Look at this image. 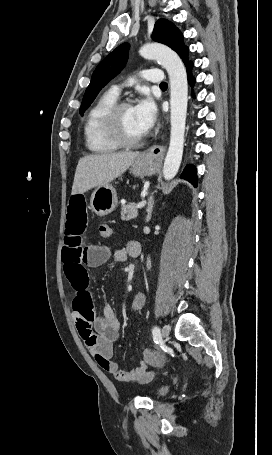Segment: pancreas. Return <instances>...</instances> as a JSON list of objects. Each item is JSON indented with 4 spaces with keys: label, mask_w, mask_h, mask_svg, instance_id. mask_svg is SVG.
<instances>
[{
    "label": "pancreas",
    "mask_w": 272,
    "mask_h": 455,
    "mask_svg": "<svg viewBox=\"0 0 272 455\" xmlns=\"http://www.w3.org/2000/svg\"><path fill=\"white\" fill-rule=\"evenodd\" d=\"M138 215L137 206L135 203H129L122 205L121 210V219L123 221H128L131 219H135Z\"/></svg>",
    "instance_id": "cf45deb5"
}]
</instances>
